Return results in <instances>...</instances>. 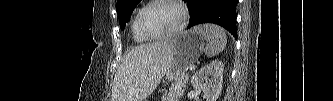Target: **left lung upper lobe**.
Segmentation results:
<instances>
[{
	"label": "left lung upper lobe",
	"instance_id": "5c2ea615",
	"mask_svg": "<svg viewBox=\"0 0 333 101\" xmlns=\"http://www.w3.org/2000/svg\"><path fill=\"white\" fill-rule=\"evenodd\" d=\"M140 0H117V12L120 27L123 30L133 10Z\"/></svg>",
	"mask_w": 333,
	"mask_h": 101
}]
</instances>
